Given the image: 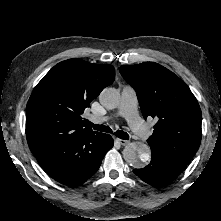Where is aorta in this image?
Segmentation results:
<instances>
[{
    "mask_svg": "<svg viewBox=\"0 0 221 221\" xmlns=\"http://www.w3.org/2000/svg\"><path fill=\"white\" fill-rule=\"evenodd\" d=\"M99 101L105 108L114 109L119 105L120 94L114 88H105ZM123 157L131 166L141 168L150 159V148L144 143H128L123 149Z\"/></svg>",
    "mask_w": 221,
    "mask_h": 221,
    "instance_id": "aorta-1",
    "label": "aorta"
}]
</instances>
